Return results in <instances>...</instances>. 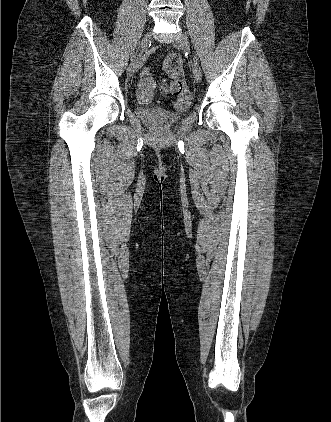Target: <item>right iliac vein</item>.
<instances>
[{
  "mask_svg": "<svg viewBox=\"0 0 331 422\" xmlns=\"http://www.w3.org/2000/svg\"><path fill=\"white\" fill-rule=\"evenodd\" d=\"M150 39H151V33L147 32L140 42L141 51H139L138 56L136 58V61H133L127 68V77L128 78L132 77V75L138 69V67H139V63H138L139 57L142 54V52L144 51V49L147 47L148 43L150 42Z\"/></svg>",
  "mask_w": 331,
  "mask_h": 422,
  "instance_id": "right-iliac-vein-1",
  "label": "right iliac vein"
}]
</instances>
